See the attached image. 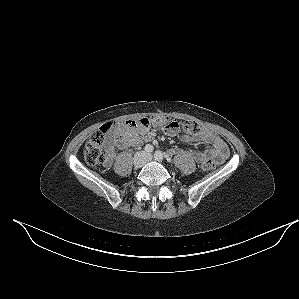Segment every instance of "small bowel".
Masks as SVG:
<instances>
[{
	"label": "small bowel",
	"instance_id": "1",
	"mask_svg": "<svg viewBox=\"0 0 299 299\" xmlns=\"http://www.w3.org/2000/svg\"><path fill=\"white\" fill-rule=\"evenodd\" d=\"M127 123L128 121L118 123L114 129L115 134L108 140L106 145L107 156L104 160L105 167H110L113 164L116 148L126 149L152 139V134L147 129L132 128ZM167 134L174 135L176 132H169ZM181 140L184 143L203 142L211 145V147L205 151L192 152V157L199 164L205 161L220 164L229 156V149L225 141L209 129L202 128L196 135H184ZM178 152L176 149L170 150L171 154Z\"/></svg>",
	"mask_w": 299,
	"mask_h": 299
}]
</instances>
